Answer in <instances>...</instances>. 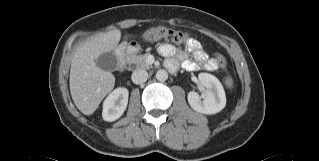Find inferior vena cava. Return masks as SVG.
<instances>
[{
    "label": "inferior vena cava",
    "instance_id": "602c4592",
    "mask_svg": "<svg viewBox=\"0 0 319 161\" xmlns=\"http://www.w3.org/2000/svg\"><path fill=\"white\" fill-rule=\"evenodd\" d=\"M132 82L135 84H142L147 81L148 73L145 70L138 69L132 73L131 76Z\"/></svg>",
    "mask_w": 319,
    "mask_h": 161
}]
</instances>
